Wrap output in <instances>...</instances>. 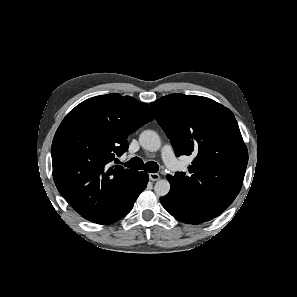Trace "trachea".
<instances>
[{
    "label": "trachea",
    "instance_id": "3493384b",
    "mask_svg": "<svg viewBox=\"0 0 297 297\" xmlns=\"http://www.w3.org/2000/svg\"><path fill=\"white\" fill-rule=\"evenodd\" d=\"M125 166L137 170L144 169L145 171L150 173H156L159 170V166L156 162L150 161L144 164L142 159L139 157H134L130 159L127 163H125Z\"/></svg>",
    "mask_w": 297,
    "mask_h": 297
}]
</instances>
